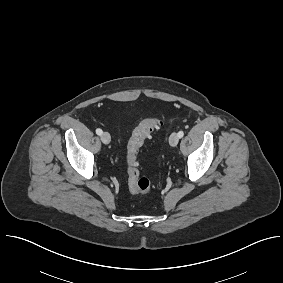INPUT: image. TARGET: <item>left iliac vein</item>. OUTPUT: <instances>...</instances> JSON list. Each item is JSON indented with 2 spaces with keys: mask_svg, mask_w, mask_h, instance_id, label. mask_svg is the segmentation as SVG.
<instances>
[{
  "mask_svg": "<svg viewBox=\"0 0 283 283\" xmlns=\"http://www.w3.org/2000/svg\"><path fill=\"white\" fill-rule=\"evenodd\" d=\"M179 142V137L177 133H172L169 137V144L175 147Z\"/></svg>",
  "mask_w": 283,
  "mask_h": 283,
  "instance_id": "left-iliac-vein-1",
  "label": "left iliac vein"
}]
</instances>
